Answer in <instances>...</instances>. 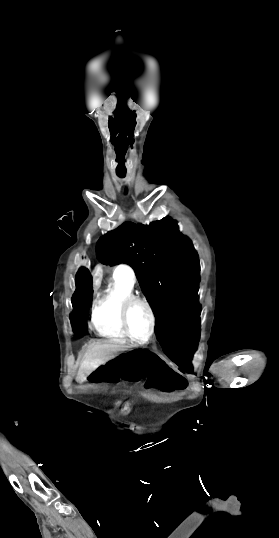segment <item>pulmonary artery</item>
Wrapping results in <instances>:
<instances>
[{"mask_svg": "<svg viewBox=\"0 0 279 538\" xmlns=\"http://www.w3.org/2000/svg\"><path fill=\"white\" fill-rule=\"evenodd\" d=\"M123 274H126V275H127V278H128L130 281H134V280H135L134 272H133L132 270H130V268H129L128 265H125V264H119V265H116V266L113 268V276H119V275H123Z\"/></svg>", "mask_w": 279, "mask_h": 538, "instance_id": "e3ab8cb5", "label": "pulmonary artery"}]
</instances>
